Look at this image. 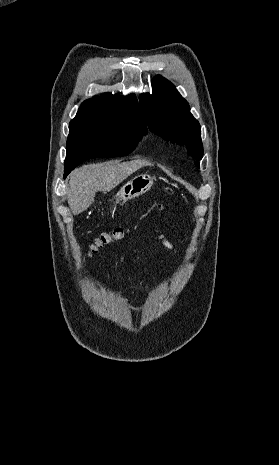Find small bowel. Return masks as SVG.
<instances>
[{"instance_id": "1", "label": "small bowel", "mask_w": 279, "mask_h": 465, "mask_svg": "<svg viewBox=\"0 0 279 465\" xmlns=\"http://www.w3.org/2000/svg\"><path fill=\"white\" fill-rule=\"evenodd\" d=\"M160 239L165 248L176 253V249L170 241H168L163 235L160 236Z\"/></svg>"}]
</instances>
